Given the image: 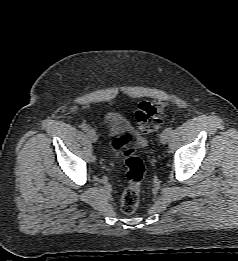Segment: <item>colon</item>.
<instances>
[{"label": "colon", "instance_id": "5ec220e1", "mask_svg": "<svg viewBox=\"0 0 238 261\" xmlns=\"http://www.w3.org/2000/svg\"><path fill=\"white\" fill-rule=\"evenodd\" d=\"M166 105L157 101H144L139 104L135 114L136 126L144 133L157 130L162 123ZM128 136L112 142L114 148L122 149L126 166V186L121 196L120 207L124 214H132L140 201V186L145 176V164L135 150L127 146Z\"/></svg>", "mask_w": 238, "mask_h": 261}]
</instances>
